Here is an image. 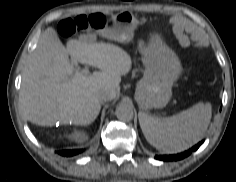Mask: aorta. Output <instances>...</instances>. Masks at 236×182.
Segmentation results:
<instances>
[{
  "instance_id": "aorta-1",
  "label": "aorta",
  "mask_w": 236,
  "mask_h": 182,
  "mask_svg": "<svg viewBox=\"0 0 236 182\" xmlns=\"http://www.w3.org/2000/svg\"><path fill=\"white\" fill-rule=\"evenodd\" d=\"M116 117L124 122H129L133 119L134 116V112H133V108L131 107V105L127 104V103H120L117 107H116Z\"/></svg>"
}]
</instances>
